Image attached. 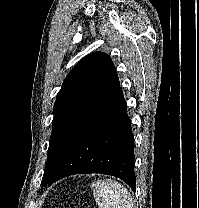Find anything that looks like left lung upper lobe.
<instances>
[{"mask_svg":"<svg viewBox=\"0 0 199 208\" xmlns=\"http://www.w3.org/2000/svg\"><path fill=\"white\" fill-rule=\"evenodd\" d=\"M120 86L111 58L93 52L80 60L62 84L53 108V129L41 184L51 177L58 156L74 131Z\"/></svg>","mask_w":199,"mask_h":208,"instance_id":"1","label":"left lung upper lobe"}]
</instances>
